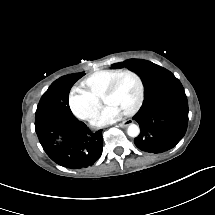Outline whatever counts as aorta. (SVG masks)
I'll list each match as a JSON object with an SVG mask.
<instances>
[{"label": "aorta", "instance_id": "aorta-1", "mask_svg": "<svg viewBox=\"0 0 215 215\" xmlns=\"http://www.w3.org/2000/svg\"><path fill=\"white\" fill-rule=\"evenodd\" d=\"M140 133V129L136 124H130L127 129V134L130 137H137Z\"/></svg>", "mask_w": 215, "mask_h": 215}]
</instances>
